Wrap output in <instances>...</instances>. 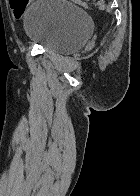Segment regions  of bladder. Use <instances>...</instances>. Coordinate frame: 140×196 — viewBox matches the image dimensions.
<instances>
[{"mask_svg": "<svg viewBox=\"0 0 140 196\" xmlns=\"http://www.w3.org/2000/svg\"><path fill=\"white\" fill-rule=\"evenodd\" d=\"M26 38L47 51L70 54L80 50L92 32L87 11L68 0H37L24 15Z\"/></svg>", "mask_w": 140, "mask_h": 196, "instance_id": "obj_1", "label": "bladder"}]
</instances>
